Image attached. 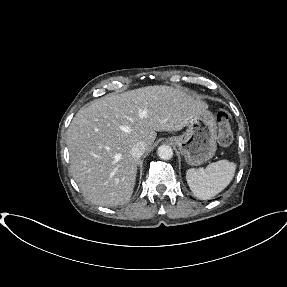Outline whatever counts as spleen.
<instances>
[{"label":"spleen","instance_id":"3e777b00","mask_svg":"<svg viewBox=\"0 0 287 287\" xmlns=\"http://www.w3.org/2000/svg\"><path fill=\"white\" fill-rule=\"evenodd\" d=\"M236 164L219 160L209 164L204 170L191 168L186 173L187 183L194 196L208 200L222 192L232 181Z\"/></svg>","mask_w":287,"mask_h":287}]
</instances>
